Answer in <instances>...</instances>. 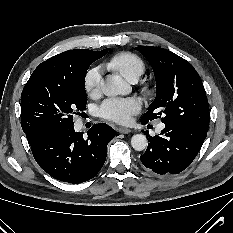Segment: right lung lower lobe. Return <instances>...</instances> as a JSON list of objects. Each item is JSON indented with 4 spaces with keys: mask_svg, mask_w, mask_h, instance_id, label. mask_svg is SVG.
<instances>
[{
    "mask_svg": "<svg viewBox=\"0 0 233 233\" xmlns=\"http://www.w3.org/2000/svg\"><path fill=\"white\" fill-rule=\"evenodd\" d=\"M115 134L105 123H98L85 138L71 126L43 137L31 145V151L39 166L50 176L78 184L92 179L101 170L107 144Z\"/></svg>",
    "mask_w": 233,
    "mask_h": 233,
    "instance_id": "obj_1",
    "label": "right lung lower lobe"
}]
</instances>
